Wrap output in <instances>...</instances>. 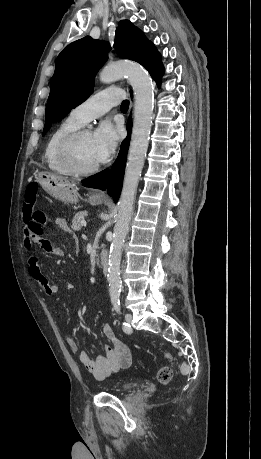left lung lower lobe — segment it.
<instances>
[{"label":"left lung lower lobe","instance_id":"1","mask_svg":"<svg viewBox=\"0 0 261 459\" xmlns=\"http://www.w3.org/2000/svg\"><path fill=\"white\" fill-rule=\"evenodd\" d=\"M164 75V67H162L158 72L153 76L158 87H160L161 78ZM129 131L131 129V120H129L127 125ZM129 147V137L123 142L121 150L119 152L118 158L111 169H106L92 177L88 180L83 181L85 187L106 189L108 187L107 193L113 197L114 202L116 203L119 199L122 181L124 176L126 155Z\"/></svg>","mask_w":261,"mask_h":459}]
</instances>
